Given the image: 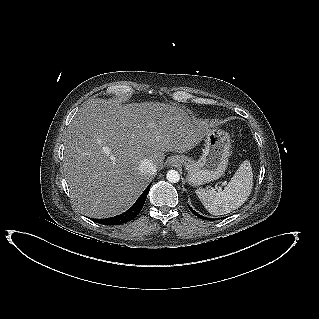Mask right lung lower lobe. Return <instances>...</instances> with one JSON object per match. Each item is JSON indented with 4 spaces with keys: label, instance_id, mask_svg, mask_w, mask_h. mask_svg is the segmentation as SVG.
<instances>
[{
    "label": "right lung lower lobe",
    "instance_id": "98d812e1",
    "mask_svg": "<svg viewBox=\"0 0 319 319\" xmlns=\"http://www.w3.org/2000/svg\"><path fill=\"white\" fill-rule=\"evenodd\" d=\"M149 190H150V185L144 190V192L137 199L134 205L130 209H128L126 212L115 217L106 218V219H97V220L94 219V220L103 225H119L132 220L141 211L145 203V200L147 198Z\"/></svg>",
    "mask_w": 319,
    "mask_h": 319
}]
</instances>
